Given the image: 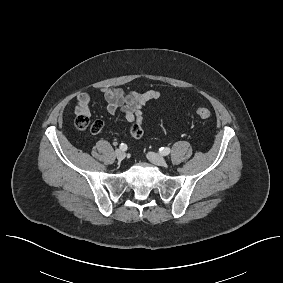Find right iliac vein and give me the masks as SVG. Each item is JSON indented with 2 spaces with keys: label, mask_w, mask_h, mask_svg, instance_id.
<instances>
[{
  "label": "right iliac vein",
  "mask_w": 283,
  "mask_h": 283,
  "mask_svg": "<svg viewBox=\"0 0 283 283\" xmlns=\"http://www.w3.org/2000/svg\"><path fill=\"white\" fill-rule=\"evenodd\" d=\"M115 156H116V158H117L118 160H123V159L125 158L126 154H125V152L122 151L121 149H117V150L115 151Z\"/></svg>",
  "instance_id": "right-iliac-vein-1"
}]
</instances>
